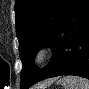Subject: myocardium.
<instances>
[{
    "mask_svg": "<svg viewBox=\"0 0 89 89\" xmlns=\"http://www.w3.org/2000/svg\"><path fill=\"white\" fill-rule=\"evenodd\" d=\"M50 56V47L45 45L37 48L32 56V64L36 67L44 65Z\"/></svg>",
    "mask_w": 89,
    "mask_h": 89,
    "instance_id": "1",
    "label": "myocardium"
}]
</instances>
